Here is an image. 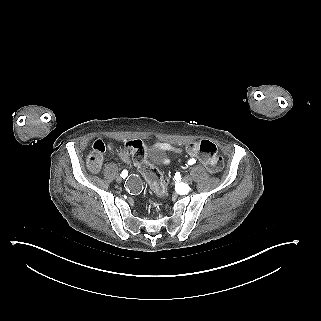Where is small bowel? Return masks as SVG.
Segmentation results:
<instances>
[{"label": "small bowel", "mask_w": 321, "mask_h": 321, "mask_svg": "<svg viewBox=\"0 0 321 321\" xmlns=\"http://www.w3.org/2000/svg\"><path fill=\"white\" fill-rule=\"evenodd\" d=\"M159 149L161 150H164V151H171V152H174V153H177V154H180L182 153V150L181 148L175 146V145H172L170 143H166V142H161V143H158L156 145ZM165 164L169 163V159H166L164 161Z\"/></svg>", "instance_id": "small-bowel-1"}]
</instances>
